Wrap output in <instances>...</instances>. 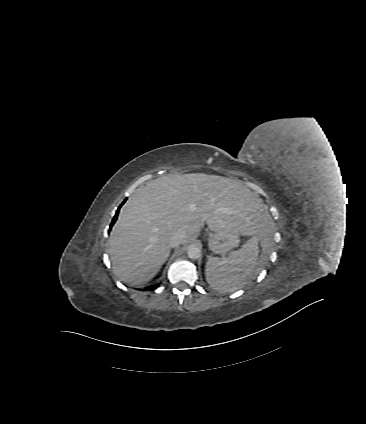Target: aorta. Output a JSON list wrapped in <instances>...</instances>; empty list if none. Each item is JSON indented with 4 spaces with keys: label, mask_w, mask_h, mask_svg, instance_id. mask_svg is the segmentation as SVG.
I'll use <instances>...</instances> for the list:
<instances>
[{
    "label": "aorta",
    "mask_w": 366,
    "mask_h": 424,
    "mask_svg": "<svg viewBox=\"0 0 366 424\" xmlns=\"http://www.w3.org/2000/svg\"><path fill=\"white\" fill-rule=\"evenodd\" d=\"M187 255L190 259L196 260L200 257L201 251L195 245H190L187 250Z\"/></svg>",
    "instance_id": "aorta-1"
}]
</instances>
